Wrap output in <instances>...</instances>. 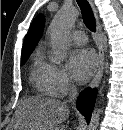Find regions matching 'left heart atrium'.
Returning a JSON list of instances; mask_svg holds the SVG:
<instances>
[{"instance_id": "1", "label": "left heart atrium", "mask_w": 123, "mask_h": 130, "mask_svg": "<svg viewBox=\"0 0 123 130\" xmlns=\"http://www.w3.org/2000/svg\"><path fill=\"white\" fill-rule=\"evenodd\" d=\"M69 67L77 81H87L97 67L95 52L91 49H78L74 51L70 56Z\"/></svg>"}]
</instances>
